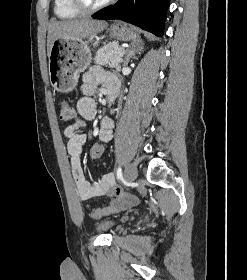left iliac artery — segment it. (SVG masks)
<instances>
[{
  "label": "left iliac artery",
  "instance_id": "obj_1",
  "mask_svg": "<svg viewBox=\"0 0 247 280\" xmlns=\"http://www.w3.org/2000/svg\"><path fill=\"white\" fill-rule=\"evenodd\" d=\"M122 178V169L121 167L117 168V179H121Z\"/></svg>",
  "mask_w": 247,
  "mask_h": 280
}]
</instances>
